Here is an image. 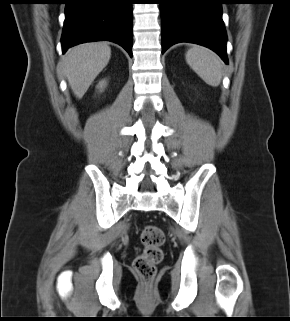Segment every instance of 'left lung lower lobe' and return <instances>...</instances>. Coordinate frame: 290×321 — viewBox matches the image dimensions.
I'll use <instances>...</instances> for the list:
<instances>
[{
	"label": "left lung lower lobe",
	"instance_id": "left-lung-lower-lobe-1",
	"mask_svg": "<svg viewBox=\"0 0 290 321\" xmlns=\"http://www.w3.org/2000/svg\"><path fill=\"white\" fill-rule=\"evenodd\" d=\"M225 0H161L162 53L179 42L206 46L228 64L222 20Z\"/></svg>",
	"mask_w": 290,
	"mask_h": 321
}]
</instances>
